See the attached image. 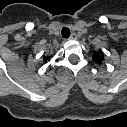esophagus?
Wrapping results in <instances>:
<instances>
[{
	"label": "esophagus",
	"mask_w": 127,
	"mask_h": 127,
	"mask_svg": "<svg viewBox=\"0 0 127 127\" xmlns=\"http://www.w3.org/2000/svg\"><path fill=\"white\" fill-rule=\"evenodd\" d=\"M77 35L75 33H72L71 36L69 37V40H76Z\"/></svg>",
	"instance_id": "34e87169"
}]
</instances>
